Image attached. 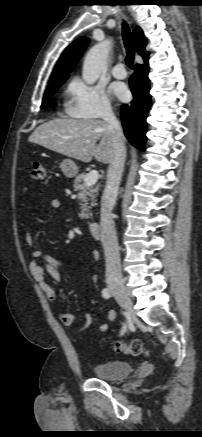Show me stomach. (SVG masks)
Wrapping results in <instances>:
<instances>
[{
  "instance_id": "1",
  "label": "stomach",
  "mask_w": 202,
  "mask_h": 437,
  "mask_svg": "<svg viewBox=\"0 0 202 437\" xmlns=\"http://www.w3.org/2000/svg\"><path fill=\"white\" fill-rule=\"evenodd\" d=\"M60 168L67 178H73L78 173V166L71 159H64L60 164Z\"/></svg>"
}]
</instances>
